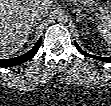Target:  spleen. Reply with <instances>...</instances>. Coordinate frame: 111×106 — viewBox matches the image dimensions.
Returning <instances> with one entry per match:
<instances>
[{"instance_id":"obj_1","label":"spleen","mask_w":111,"mask_h":106,"mask_svg":"<svg viewBox=\"0 0 111 106\" xmlns=\"http://www.w3.org/2000/svg\"><path fill=\"white\" fill-rule=\"evenodd\" d=\"M97 30L106 42L107 52L111 54V18L100 22L97 26Z\"/></svg>"}]
</instances>
